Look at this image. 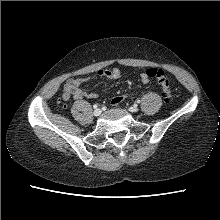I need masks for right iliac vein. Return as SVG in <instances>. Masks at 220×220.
Segmentation results:
<instances>
[{
    "mask_svg": "<svg viewBox=\"0 0 220 220\" xmlns=\"http://www.w3.org/2000/svg\"><path fill=\"white\" fill-rule=\"evenodd\" d=\"M101 112L102 111L100 109H96V110H94L93 114H94V116L98 117L101 115Z\"/></svg>",
    "mask_w": 220,
    "mask_h": 220,
    "instance_id": "1",
    "label": "right iliac vein"
}]
</instances>
